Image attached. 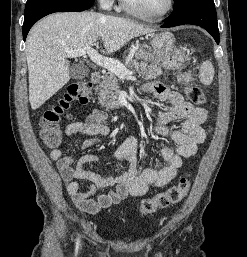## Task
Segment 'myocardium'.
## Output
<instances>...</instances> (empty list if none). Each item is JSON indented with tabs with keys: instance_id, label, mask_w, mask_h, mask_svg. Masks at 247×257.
Here are the masks:
<instances>
[{
	"instance_id": "myocardium-1",
	"label": "myocardium",
	"mask_w": 247,
	"mask_h": 257,
	"mask_svg": "<svg viewBox=\"0 0 247 257\" xmlns=\"http://www.w3.org/2000/svg\"><path fill=\"white\" fill-rule=\"evenodd\" d=\"M120 4L122 9L127 13L149 22L163 21L165 18H167L170 15V13L173 11V8H174V0H168L166 8L161 13H158V14H147V13L141 12L137 10L135 7H133L128 0H120Z\"/></svg>"
}]
</instances>
